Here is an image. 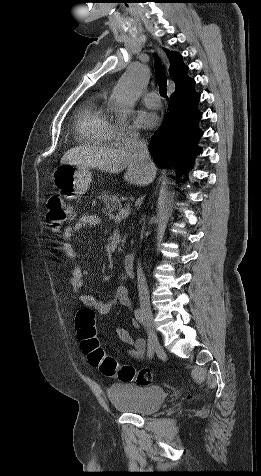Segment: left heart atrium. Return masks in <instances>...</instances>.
<instances>
[{
    "mask_svg": "<svg viewBox=\"0 0 261 476\" xmlns=\"http://www.w3.org/2000/svg\"><path fill=\"white\" fill-rule=\"evenodd\" d=\"M157 123L158 117L153 112L141 110L135 116V124L143 129L153 128Z\"/></svg>",
    "mask_w": 261,
    "mask_h": 476,
    "instance_id": "39dd6f15",
    "label": "left heart atrium"
}]
</instances>
